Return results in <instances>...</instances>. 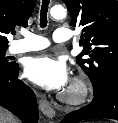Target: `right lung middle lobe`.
I'll use <instances>...</instances> for the list:
<instances>
[{"label":"right lung middle lobe","mask_w":118,"mask_h":123,"mask_svg":"<svg viewBox=\"0 0 118 123\" xmlns=\"http://www.w3.org/2000/svg\"><path fill=\"white\" fill-rule=\"evenodd\" d=\"M7 49H0V70H8L12 68L15 63H10L8 57H5Z\"/></svg>","instance_id":"obj_1"}]
</instances>
